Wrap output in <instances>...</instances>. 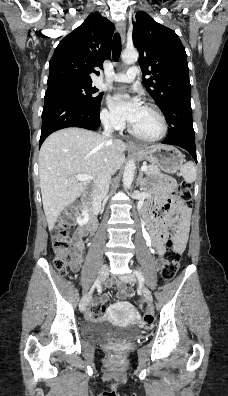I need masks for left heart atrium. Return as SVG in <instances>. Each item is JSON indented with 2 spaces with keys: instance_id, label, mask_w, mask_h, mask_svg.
<instances>
[{
  "instance_id": "39dd6f15",
  "label": "left heart atrium",
  "mask_w": 228,
  "mask_h": 396,
  "mask_svg": "<svg viewBox=\"0 0 228 396\" xmlns=\"http://www.w3.org/2000/svg\"><path fill=\"white\" fill-rule=\"evenodd\" d=\"M110 107L113 114L120 120L134 124L141 112L142 105L138 98L128 99L124 93H115L110 98Z\"/></svg>"
}]
</instances>
